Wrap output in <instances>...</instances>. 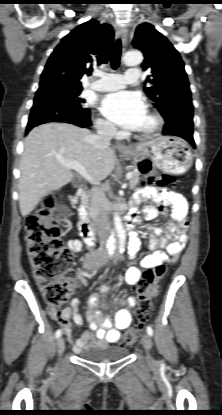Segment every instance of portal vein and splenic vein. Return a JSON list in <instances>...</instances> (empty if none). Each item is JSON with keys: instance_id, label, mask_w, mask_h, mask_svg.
I'll list each match as a JSON object with an SVG mask.
<instances>
[{"instance_id": "portal-vein-and-splenic-vein-1", "label": "portal vein and splenic vein", "mask_w": 222, "mask_h": 415, "mask_svg": "<svg viewBox=\"0 0 222 415\" xmlns=\"http://www.w3.org/2000/svg\"><path fill=\"white\" fill-rule=\"evenodd\" d=\"M58 161L63 164L65 167L71 168L76 170L82 177H84L88 182L92 184H98L96 180H94L86 171V169L79 164L77 161L66 160L63 158H58ZM132 177V172H128L126 174V179L129 180Z\"/></svg>"}]
</instances>
